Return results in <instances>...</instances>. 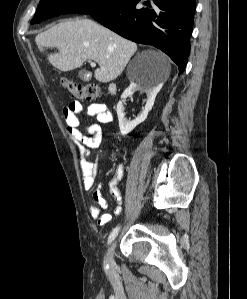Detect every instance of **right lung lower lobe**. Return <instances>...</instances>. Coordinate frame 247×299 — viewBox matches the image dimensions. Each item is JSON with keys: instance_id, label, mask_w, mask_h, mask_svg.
<instances>
[{"instance_id": "1", "label": "right lung lower lobe", "mask_w": 247, "mask_h": 299, "mask_svg": "<svg viewBox=\"0 0 247 299\" xmlns=\"http://www.w3.org/2000/svg\"><path fill=\"white\" fill-rule=\"evenodd\" d=\"M195 8V0H122L90 15L124 38L162 50L183 73Z\"/></svg>"}]
</instances>
